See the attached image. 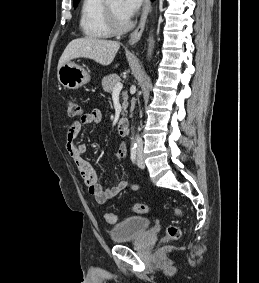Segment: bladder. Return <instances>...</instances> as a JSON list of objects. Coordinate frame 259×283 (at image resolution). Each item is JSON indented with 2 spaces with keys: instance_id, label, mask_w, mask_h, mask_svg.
Segmentation results:
<instances>
[{
  "instance_id": "1",
  "label": "bladder",
  "mask_w": 259,
  "mask_h": 283,
  "mask_svg": "<svg viewBox=\"0 0 259 283\" xmlns=\"http://www.w3.org/2000/svg\"><path fill=\"white\" fill-rule=\"evenodd\" d=\"M149 228L150 220L148 218L131 216L116 224L110 233L114 242H123L138 237Z\"/></svg>"
}]
</instances>
